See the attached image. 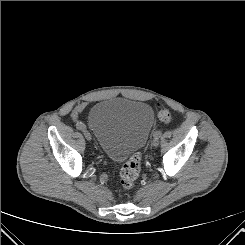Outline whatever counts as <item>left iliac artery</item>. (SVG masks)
Wrapping results in <instances>:
<instances>
[{
    "mask_svg": "<svg viewBox=\"0 0 245 245\" xmlns=\"http://www.w3.org/2000/svg\"><path fill=\"white\" fill-rule=\"evenodd\" d=\"M162 135V131L158 130L154 133V137H160Z\"/></svg>",
    "mask_w": 245,
    "mask_h": 245,
    "instance_id": "left-iliac-artery-1",
    "label": "left iliac artery"
}]
</instances>
